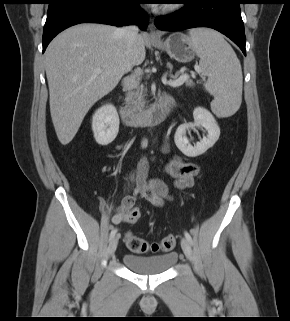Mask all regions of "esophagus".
Masks as SVG:
<instances>
[{
    "label": "esophagus",
    "mask_w": 290,
    "mask_h": 321,
    "mask_svg": "<svg viewBox=\"0 0 290 321\" xmlns=\"http://www.w3.org/2000/svg\"><path fill=\"white\" fill-rule=\"evenodd\" d=\"M160 37V33L153 28V24L150 28L149 33H147L146 38L150 40L158 39Z\"/></svg>",
    "instance_id": "34e87169"
}]
</instances>
